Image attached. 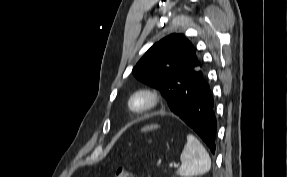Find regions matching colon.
<instances>
[{
	"label": "colon",
	"instance_id": "1",
	"mask_svg": "<svg viewBox=\"0 0 287 177\" xmlns=\"http://www.w3.org/2000/svg\"><path fill=\"white\" fill-rule=\"evenodd\" d=\"M114 177H137L132 171L124 167H118L113 170Z\"/></svg>",
	"mask_w": 287,
	"mask_h": 177
}]
</instances>
